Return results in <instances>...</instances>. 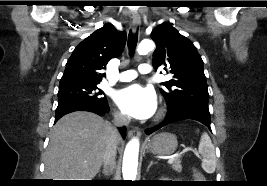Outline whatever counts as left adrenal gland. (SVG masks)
Listing matches in <instances>:
<instances>
[{
  "label": "left adrenal gland",
  "instance_id": "a2214340",
  "mask_svg": "<svg viewBox=\"0 0 267 186\" xmlns=\"http://www.w3.org/2000/svg\"><path fill=\"white\" fill-rule=\"evenodd\" d=\"M154 164L153 161H150L149 165H148V168H147V171H149L150 167Z\"/></svg>",
  "mask_w": 267,
  "mask_h": 186
}]
</instances>
